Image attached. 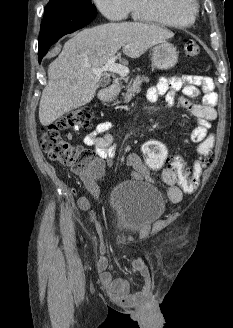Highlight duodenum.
<instances>
[{
    "instance_id": "1",
    "label": "duodenum",
    "mask_w": 233,
    "mask_h": 328,
    "mask_svg": "<svg viewBox=\"0 0 233 328\" xmlns=\"http://www.w3.org/2000/svg\"><path fill=\"white\" fill-rule=\"evenodd\" d=\"M118 91V85L116 83L111 84L110 86L104 88L99 93V99L103 102L112 100Z\"/></svg>"
}]
</instances>
